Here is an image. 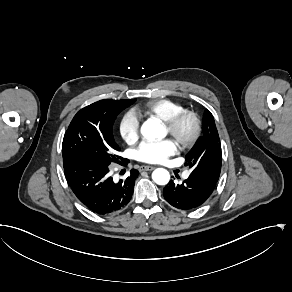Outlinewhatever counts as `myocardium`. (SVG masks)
Segmentation results:
<instances>
[{
    "mask_svg": "<svg viewBox=\"0 0 292 292\" xmlns=\"http://www.w3.org/2000/svg\"><path fill=\"white\" fill-rule=\"evenodd\" d=\"M167 130L182 146L193 145L200 134V120L190 110L182 109L165 122Z\"/></svg>",
    "mask_w": 292,
    "mask_h": 292,
    "instance_id": "f54148a6",
    "label": "myocardium"
}]
</instances>
